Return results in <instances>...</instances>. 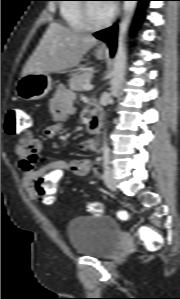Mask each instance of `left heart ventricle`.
Instances as JSON below:
<instances>
[{"mask_svg": "<svg viewBox=\"0 0 180 299\" xmlns=\"http://www.w3.org/2000/svg\"><path fill=\"white\" fill-rule=\"evenodd\" d=\"M90 16L93 23H101L109 17V13L103 3H89Z\"/></svg>", "mask_w": 180, "mask_h": 299, "instance_id": "1", "label": "left heart ventricle"}]
</instances>
